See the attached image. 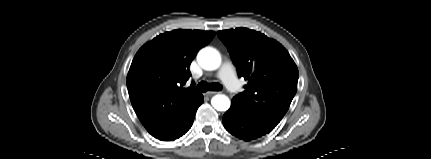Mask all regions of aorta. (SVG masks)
Instances as JSON below:
<instances>
[{"label":"aorta","mask_w":431,"mask_h":159,"mask_svg":"<svg viewBox=\"0 0 431 159\" xmlns=\"http://www.w3.org/2000/svg\"><path fill=\"white\" fill-rule=\"evenodd\" d=\"M197 61L205 70H216L221 64V57L217 50L206 47L199 51ZM211 104L217 111H227L231 103L227 96L218 94L211 99Z\"/></svg>","instance_id":"1"}]
</instances>
